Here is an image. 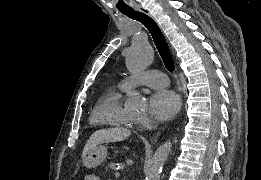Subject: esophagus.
Listing matches in <instances>:
<instances>
[{
    "instance_id": "34e87169",
    "label": "esophagus",
    "mask_w": 261,
    "mask_h": 180,
    "mask_svg": "<svg viewBox=\"0 0 261 180\" xmlns=\"http://www.w3.org/2000/svg\"><path fill=\"white\" fill-rule=\"evenodd\" d=\"M139 11L145 13L146 15H149V17H152V15L145 8H139ZM156 139H157V136H154L153 140H156Z\"/></svg>"
}]
</instances>
